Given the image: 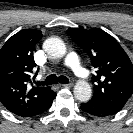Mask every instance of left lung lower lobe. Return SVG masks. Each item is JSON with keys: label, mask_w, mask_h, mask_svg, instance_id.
<instances>
[{"label": "left lung lower lobe", "mask_w": 133, "mask_h": 133, "mask_svg": "<svg viewBox=\"0 0 133 133\" xmlns=\"http://www.w3.org/2000/svg\"><path fill=\"white\" fill-rule=\"evenodd\" d=\"M80 108L85 113L94 115V116H98V117L114 115L120 111L118 109H115V108H112L109 106H105V105H101V104H98L93 101H89L87 103H82Z\"/></svg>", "instance_id": "1"}]
</instances>
